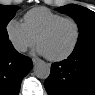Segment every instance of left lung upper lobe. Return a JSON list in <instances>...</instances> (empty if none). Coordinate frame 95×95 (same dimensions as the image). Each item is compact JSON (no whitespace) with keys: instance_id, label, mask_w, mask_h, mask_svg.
<instances>
[{"instance_id":"1","label":"left lung upper lobe","mask_w":95,"mask_h":95,"mask_svg":"<svg viewBox=\"0 0 95 95\" xmlns=\"http://www.w3.org/2000/svg\"><path fill=\"white\" fill-rule=\"evenodd\" d=\"M57 10L71 16L78 24L80 34L75 48L95 40V13L93 11L76 4L59 7Z\"/></svg>"}]
</instances>
